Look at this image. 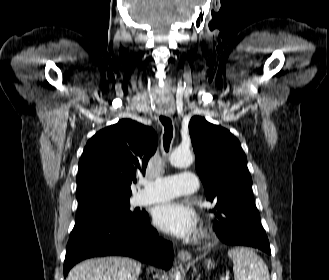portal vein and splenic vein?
Instances as JSON below:
<instances>
[{
  "label": "portal vein and splenic vein",
  "instance_id": "obj_1",
  "mask_svg": "<svg viewBox=\"0 0 329 280\" xmlns=\"http://www.w3.org/2000/svg\"><path fill=\"white\" fill-rule=\"evenodd\" d=\"M222 280H229V277L226 276L225 278H222Z\"/></svg>",
  "mask_w": 329,
  "mask_h": 280
}]
</instances>
